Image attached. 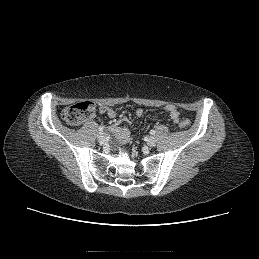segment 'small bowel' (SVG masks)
I'll return each mask as SVG.
<instances>
[{
  "label": "small bowel",
  "instance_id": "1",
  "mask_svg": "<svg viewBox=\"0 0 259 259\" xmlns=\"http://www.w3.org/2000/svg\"><path fill=\"white\" fill-rule=\"evenodd\" d=\"M164 110L167 113V118L169 121L173 123L178 122L179 113L177 108L172 104H167L164 106ZM100 113L106 114L109 118L113 119L116 117V111L110 107H101ZM135 115L137 117H141L143 115V110L141 108H137L135 110ZM111 132L115 135V137L122 143H126L130 141L129 132L122 128L119 123H115L110 127Z\"/></svg>",
  "mask_w": 259,
  "mask_h": 259
}]
</instances>
